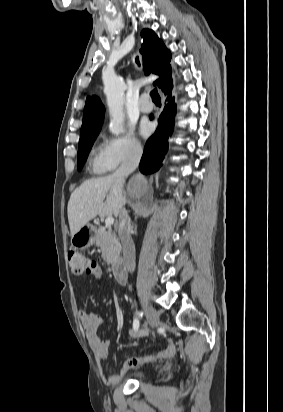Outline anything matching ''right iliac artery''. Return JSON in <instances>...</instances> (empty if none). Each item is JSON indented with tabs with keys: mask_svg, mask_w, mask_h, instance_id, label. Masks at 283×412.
I'll return each mask as SVG.
<instances>
[{
	"mask_svg": "<svg viewBox=\"0 0 283 412\" xmlns=\"http://www.w3.org/2000/svg\"><path fill=\"white\" fill-rule=\"evenodd\" d=\"M138 315L142 317L143 312H139ZM133 328H134L135 331H137L139 329V320L138 319H134Z\"/></svg>",
	"mask_w": 283,
	"mask_h": 412,
	"instance_id": "obj_1",
	"label": "right iliac artery"
}]
</instances>
